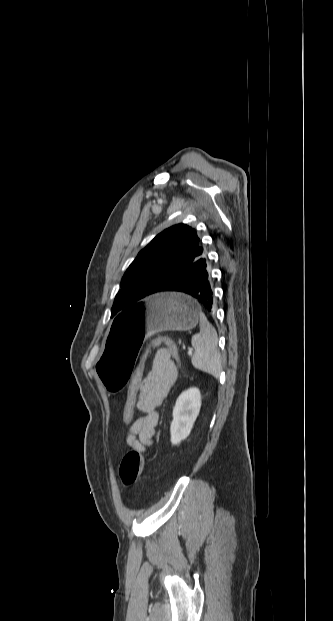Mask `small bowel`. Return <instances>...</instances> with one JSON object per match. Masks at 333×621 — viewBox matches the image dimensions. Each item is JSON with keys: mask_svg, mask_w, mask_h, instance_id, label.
I'll return each mask as SVG.
<instances>
[{"mask_svg": "<svg viewBox=\"0 0 333 621\" xmlns=\"http://www.w3.org/2000/svg\"><path fill=\"white\" fill-rule=\"evenodd\" d=\"M177 374L169 350H158L140 386L137 409L141 416L131 423L126 438L127 444L136 451L145 453L153 444L159 420L157 408L174 385Z\"/></svg>", "mask_w": 333, "mask_h": 621, "instance_id": "obj_1", "label": "small bowel"}]
</instances>
